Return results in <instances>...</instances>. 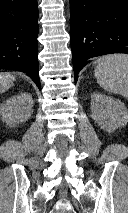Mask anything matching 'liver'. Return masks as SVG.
Instances as JSON below:
<instances>
[{
  "instance_id": "liver-1",
  "label": "liver",
  "mask_w": 128,
  "mask_h": 213,
  "mask_svg": "<svg viewBox=\"0 0 128 213\" xmlns=\"http://www.w3.org/2000/svg\"><path fill=\"white\" fill-rule=\"evenodd\" d=\"M15 77L10 73L1 72L0 73V93L5 92L11 88L14 84Z\"/></svg>"
}]
</instances>
